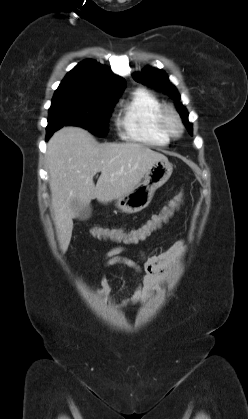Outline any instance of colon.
Returning <instances> with one entry per match:
<instances>
[{"instance_id":"obj_1","label":"colon","mask_w":248,"mask_h":419,"mask_svg":"<svg viewBox=\"0 0 248 419\" xmlns=\"http://www.w3.org/2000/svg\"><path fill=\"white\" fill-rule=\"evenodd\" d=\"M183 201V194H177L167 206H165L158 214L154 215L149 221L145 223V227L141 233H148L157 230L163 223H165L173 213L180 207ZM94 236L103 240L112 241H127L129 237L125 232L119 229L109 228H95L93 230Z\"/></svg>"}]
</instances>
